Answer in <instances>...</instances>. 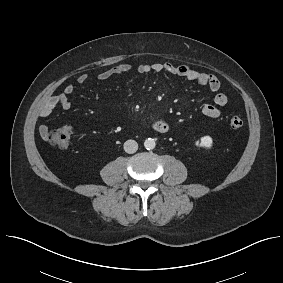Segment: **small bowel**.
<instances>
[{
  "instance_id": "c3829d8e",
  "label": "small bowel",
  "mask_w": 283,
  "mask_h": 283,
  "mask_svg": "<svg viewBox=\"0 0 283 283\" xmlns=\"http://www.w3.org/2000/svg\"><path fill=\"white\" fill-rule=\"evenodd\" d=\"M133 70V67L129 64H120L102 71L98 74V79L105 81L116 75H122L129 73ZM136 72L139 74H148L152 72L160 73L164 72L171 75H176L185 78L189 81L196 82L197 84L207 87L210 91L214 92V105L207 104L202 108V113L212 119L219 118L221 115V107L225 106L228 102V97L225 93L220 92L221 82L213 74L204 73L192 69L186 65H175L169 62L165 63H152V64H140L136 67ZM88 79L87 74H80L77 77L78 84H84ZM74 92V86L72 84H66L62 91L56 94L50 95L41 106L38 111L40 118L48 117L56 106L68 110L71 108V102L69 96ZM153 129L158 133H168L170 130L169 125L161 119L155 120L152 124ZM47 126L41 125L39 128L40 134L46 136Z\"/></svg>"
}]
</instances>
